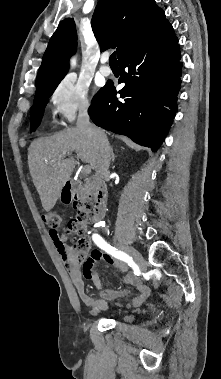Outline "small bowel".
<instances>
[{"label": "small bowel", "instance_id": "obj_1", "mask_svg": "<svg viewBox=\"0 0 221 379\" xmlns=\"http://www.w3.org/2000/svg\"><path fill=\"white\" fill-rule=\"evenodd\" d=\"M50 236L56 249L64 260L70 279L79 298L92 313L106 310L109 301L124 297L128 293L126 289L114 291L104 288L98 274L100 266L117 268L119 271L125 273L124 283L137 287L140 294L132 300L131 306H139L149 296V288L140 283L136 276L129 272V268L124 262L115 259L109 254L103 253L99 249H95L91 251V253L86 254L85 264L80 266L75 251L67 243V238L58 233L55 235L50 234ZM83 278L85 282L94 283L100 292V298H93L87 293Z\"/></svg>", "mask_w": 221, "mask_h": 379}]
</instances>
